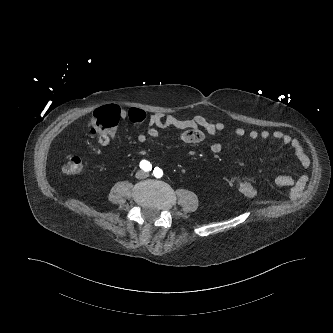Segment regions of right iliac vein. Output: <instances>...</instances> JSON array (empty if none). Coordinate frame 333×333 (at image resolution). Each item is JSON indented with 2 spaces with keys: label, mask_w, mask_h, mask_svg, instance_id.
Returning a JSON list of instances; mask_svg holds the SVG:
<instances>
[{
  "label": "right iliac vein",
  "mask_w": 333,
  "mask_h": 333,
  "mask_svg": "<svg viewBox=\"0 0 333 333\" xmlns=\"http://www.w3.org/2000/svg\"><path fill=\"white\" fill-rule=\"evenodd\" d=\"M137 176H138V177H143V176H145L144 171H142V170L138 171V172H137Z\"/></svg>",
  "instance_id": "right-iliac-vein-1"
}]
</instances>
